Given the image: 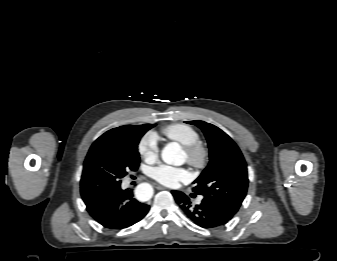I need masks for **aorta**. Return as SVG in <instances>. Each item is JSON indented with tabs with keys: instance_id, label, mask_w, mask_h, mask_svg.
<instances>
[{
	"instance_id": "1",
	"label": "aorta",
	"mask_w": 337,
	"mask_h": 261,
	"mask_svg": "<svg viewBox=\"0 0 337 261\" xmlns=\"http://www.w3.org/2000/svg\"><path fill=\"white\" fill-rule=\"evenodd\" d=\"M162 160L170 165L179 166L185 161L184 153L177 142L168 143L161 152ZM137 199L141 201L149 200L153 195V189L148 183H141L135 189Z\"/></svg>"
}]
</instances>
